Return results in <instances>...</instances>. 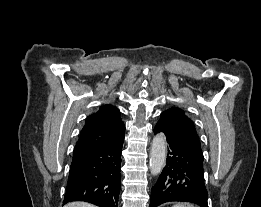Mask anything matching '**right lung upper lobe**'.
<instances>
[{"label": "right lung upper lobe", "instance_id": "right-lung-upper-lobe-1", "mask_svg": "<svg viewBox=\"0 0 261 207\" xmlns=\"http://www.w3.org/2000/svg\"><path fill=\"white\" fill-rule=\"evenodd\" d=\"M124 130L119 109L112 105H103L86 118L73 155L112 145L124 138Z\"/></svg>", "mask_w": 261, "mask_h": 207}]
</instances>
